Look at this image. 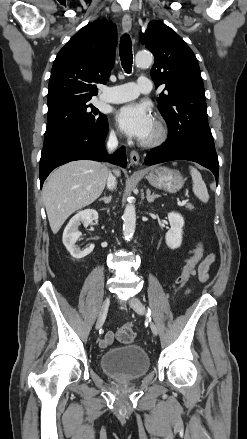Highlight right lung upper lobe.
Wrapping results in <instances>:
<instances>
[{
    "mask_svg": "<svg viewBox=\"0 0 247 439\" xmlns=\"http://www.w3.org/2000/svg\"><path fill=\"white\" fill-rule=\"evenodd\" d=\"M116 27L88 23L59 51L48 85V109L62 102L91 100L106 84L115 62Z\"/></svg>",
    "mask_w": 247,
    "mask_h": 439,
    "instance_id": "right-lung-upper-lobe-1",
    "label": "right lung upper lobe"
}]
</instances>
